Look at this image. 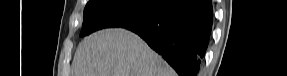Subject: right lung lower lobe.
Wrapping results in <instances>:
<instances>
[{
  "label": "right lung lower lobe",
  "instance_id": "1",
  "mask_svg": "<svg viewBox=\"0 0 287 76\" xmlns=\"http://www.w3.org/2000/svg\"><path fill=\"white\" fill-rule=\"evenodd\" d=\"M211 0H164L147 21L127 27L179 74L197 76L212 28Z\"/></svg>",
  "mask_w": 287,
  "mask_h": 76
}]
</instances>
